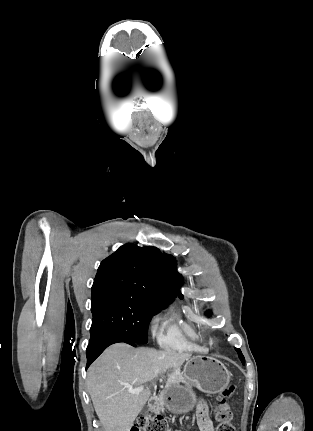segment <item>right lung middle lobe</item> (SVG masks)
<instances>
[{
	"mask_svg": "<svg viewBox=\"0 0 313 431\" xmlns=\"http://www.w3.org/2000/svg\"><path fill=\"white\" fill-rule=\"evenodd\" d=\"M163 305L122 292H106L92 297L93 321L90 340L102 334L120 335L138 344L148 341L149 322Z\"/></svg>",
	"mask_w": 313,
	"mask_h": 431,
	"instance_id": "dd1d6c3e",
	"label": "right lung middle lobe"
}]
</instances>
